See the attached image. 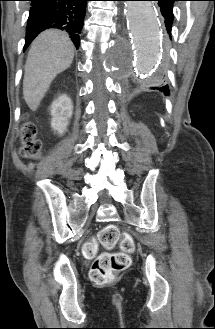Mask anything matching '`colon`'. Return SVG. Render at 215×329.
Listing matches in <instances>:
<instances>
[{"label":"colon","instance_id":"colon-1","mask_svg":"<svg viewBox=\"0 0 215 329\" xmlns=\"http://www.w3.org/2000/svg\"><path fill=\"white\" fill-rule=\"evenodd\" d=\"M42 144L36 138V127L31 122H26L22 127L21 155L25 158L37 159L41 155ZM100 243L106 248H113L118 242L122 251L118 253H102L94 260L90 269V279L95 285L110 283L115 276L127 269L131 264L130 253L134 249L131 236H120L118 228L108 225L98 235ZM82 252L85 256L95 253V244L87 242Z\"/></svg>","mask_w":215,"mask_h":329}]
</instances>
